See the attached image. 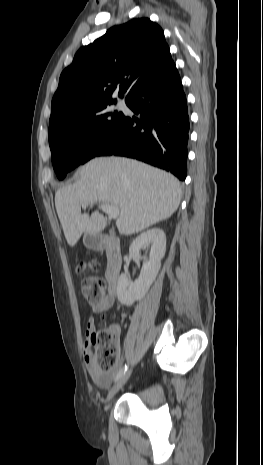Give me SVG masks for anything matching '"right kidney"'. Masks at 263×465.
Segmentation results:
<instances>
[{
    "label": "right kidney",
    "mask_w": 263,
    "mask_h": 465,
    "mask_svg": "<svg viewBox=\"0 0 263 465\" xmlns=\"http://www.w3.org/2000/svg\"><path fill=\"white\" fill-rule=\"evenodd\" d=\"M150 246L149 259H144L139 278L132 283L126 274H121L117 284V297L121 304L131 306L142 299L155 281L166 252V236L163 230L153 228L140 234L130 245L129 252L139 255L141 249Z\"/></svg>",
    "instance_id": "obj_1"
}]
</instances>
